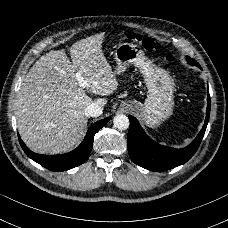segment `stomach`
<instances>
[{
	"instance_id": "obj_1",
	"label": "stomach",
	"mask_w": 228,
	"mask_h": 228,
	"mask_svg": "<svg viewBox=\"0 0 228 228\" xmlns=\"http://www.w3.org/2000/svg\"><path fill=\"white\" fill-rule=\"evenodd\" d=\"M116 68L114 74L120 75L130 65L142 69L148 96L144 104L122 101L120 108L131 105L132 112L150 128L158 127L173 114L174 82L168 72L152 68L151 62L139 46L132 43H121L114 53Z\"/></svg>"
}]
</instances>
